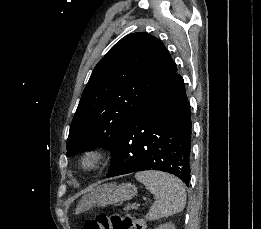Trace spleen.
<instances>
[{
    "instance_id": "obj_1",
    "label": "spleen",
    "mask_w": 261,
    "mask_h": 229,
    "mask_svg": "<svg viewBox=\"0 0 261 229\" xmlns=\"http://www.w3.org/2000/svg\"><path fill=\"white\" fill-rule=\"evenodd\" d=\"M135 179L139 183H143L157 199L146 215L147 221L171 217L185 209V187L177 177H173L169 173H162V171H140V173H136Z\"/></svg>"
}]
</instances>
